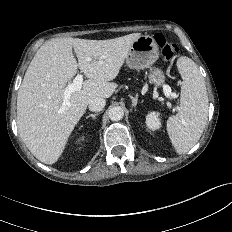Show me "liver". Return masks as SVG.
<instances>
[{
  "label": "liver",
  "instance_id": "6515ba94",
  "mask_svg": "<svg viewBox=\"0 0 232 232\" xmlns=\"http://www.w3.org/2000/svg\"><path fill=\"white\" fill-rule=\"evenodd\" d=\"M140 33L108 40L55 38L46 41L27 68L17 97V126L30 152L54 164L89 102L109 98L133 42ZM78 58V63L73 54ZM88 78L63 108V93L77 69Z\"/></svg>",
  "mask_w": 232,
  "mask_h": 232
}]
</instances>
